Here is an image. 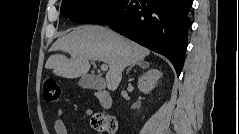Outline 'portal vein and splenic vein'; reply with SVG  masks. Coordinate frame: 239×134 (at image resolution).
I'll list each match as a JSON object with an SVG mask.
<instances>
[{
  "label": "portal vein and splenic vein",
  "instance_id": "obj_1",
  "mask_svg": "<svg viewBox=\"0 0 239 134\" xmlns=\"http://www.w3.org/2000/svg\"><path fill=\"white\" fill-rule=\"evenodd\" d=\"M100 69L103 70V71H107L108 70V65L104 63L100 66Z\"/></svg>",
  "mask_w": 239,
  "mask_h": 134
}]
</instances>
